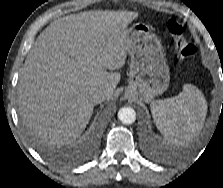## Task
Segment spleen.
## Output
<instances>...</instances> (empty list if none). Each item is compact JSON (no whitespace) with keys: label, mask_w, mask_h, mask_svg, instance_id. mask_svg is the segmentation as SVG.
<instances>
[{"label":"spleen","mask_w":223,"mask_h":188,"mask_svg":"<svg viewBox=\"0 0 223 188\" xmlns=\"http://www.w3.org/2000/svg\"><path fill=\"white\" fill-rule=\"evenodd\" d=\"M150 108L164 137L173 144L184 145L202 129L207 102L196 86L185 84L177 96L153 101Z\"/></svg>","instance_id":"obj_1"}]
</instances>
